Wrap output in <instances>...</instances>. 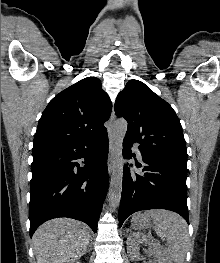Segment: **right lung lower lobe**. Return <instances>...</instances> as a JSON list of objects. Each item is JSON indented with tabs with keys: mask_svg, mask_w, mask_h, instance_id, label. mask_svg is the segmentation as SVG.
<instances>
[{
	"mask_svg": "<svg viewBox=\"0 0 220 263\" xmlns=\"http://www.w3.org/2000/svg\"><path fill=\"white\" fill-rule=\"evenodd\" d=\"M107 156V131L87 140L33 147L30 237L56 217L83 221L97 231L109 183Z\"/></svg>",
	"mask_w": 220,
	"mask_h": 263,
	"instance_id": "98d812e1",
	"label": "right lung lower lobe"
}]
</instances>
